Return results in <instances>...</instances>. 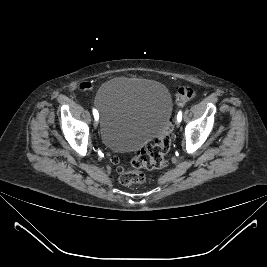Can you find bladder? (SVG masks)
Masks as SVG:
<instances>
[{
    "instance_id": "1",
    "label": "bladder",
    "mask_w": 267,
    "mask_h": 267,
    "mask_svg": "<svg viewBox=\"0 0 267 267\" xmlns=\"http://www.w3.org/2000/svg\"><path fill=\"white\" fill-rule=\"evenodd\" d=\"M95 105L101 139L117 152L135 150L160 135L173 109L171 94L163 84L126 77L106 82Z\"/></svg>"
}]
</instances>
